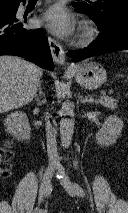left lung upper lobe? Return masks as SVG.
<instances>
[{"mask_svg": "<svg viewBox=\"0 0 128 213\" xmlns=\"http://www.w3.org/2000/svg\"><path fill=\"white\" fill-rule=\"evenodd\" d=\"M72 4L88 14L97 26H104L114 18L128 13V0H86Z\"/></svg>", "mask_w": 128, "mask_h": 213, "instance_id": "obj_1", "label": "left lung upper lobe"}]
</instances>
